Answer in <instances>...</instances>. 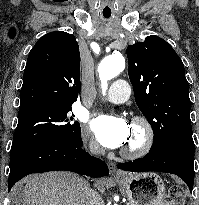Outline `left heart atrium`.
Here are the masks:
<instances>
[{"label": "left heart atrium", "mask_w": 199, "mask_h": 205, "mask_svg": "<svg viewBox=\"0 0 199 205\" xmlns=\"http://www.w3.org/2000/svg\"><path fill=\"white\" fill-rule=\"evenodd\" d=\"M90 129L97 141L107 148L123 146L131 133L130 124L125 118L112 116L93 119Z\"/></svg>", "instance_id": "1"}]
</instances>
